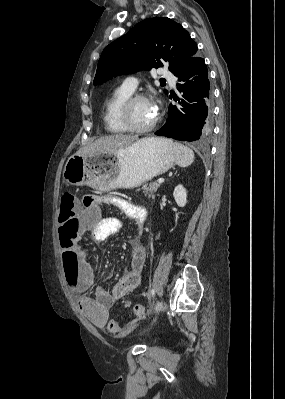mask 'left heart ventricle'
I'll return each instance as SVG.
<instances>
[{
    "instance_id": "1",
    "label": "left heart ventricle",
    "mask_w": 285,
    "mask_h": 399,
    "mask_svg": "<svg viewBox=\"0 0 285 399\" xmlns=\"http://www.w3.org/2000/svg\"><path fill=\"white\" fill-rule=\"evenodd\" d=\"M156 117L152 103L146 100L136 101L131 108V119L135 127H145L151 124Z\"/></svg>"
}]
</instances>
